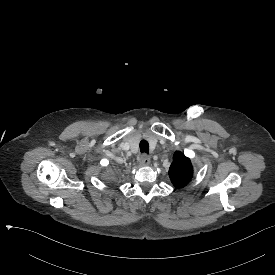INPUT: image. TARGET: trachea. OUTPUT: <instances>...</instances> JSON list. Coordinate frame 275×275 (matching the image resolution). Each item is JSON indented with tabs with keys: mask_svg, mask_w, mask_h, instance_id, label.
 <instances>
[{
	"mask_svg": "<svg viewBox=\"0 0 275 275\" xmlns=\"http://www.w3.org/2000/svg\"><path fill=\"white\" fill-rule=\"evenodd\" d=\"M140 151L142 153H149V144L146 140H141L140 141Z\"/></svg>",
	"mask_w": 275,
	"mask_h": 275,
	"instance_id": "3493384b",
	"label": "trachea"
}]
</instances>
